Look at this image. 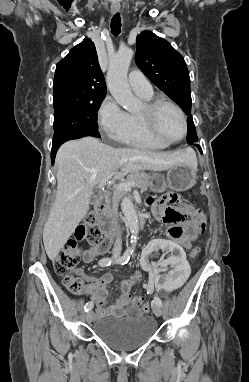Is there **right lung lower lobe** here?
<instances>
[{
    "label": "right lung lower lobe",
    "instance_id": "obj_1",
    "mask_svg": "<svg viewBox=\"0 0 249 382\" xmlns=\"http://www.w3.org/2000/svg\"><path fill=\"white\" fill-rule=\"evenodd\" d=\"M84 136H93V137H100L98 135H95V134H80V135H74V136H70V137H67L63 140H60L58 142H54L52 144V151H51V159H52V164H54V160H55V156H56V153H57V150L59 149V147L66 141L68 140H72V139H78V138H81V137H84Z\"/></svg>",
    "mask_w": 249,
    "mask_h": 382
}]
</instances>
